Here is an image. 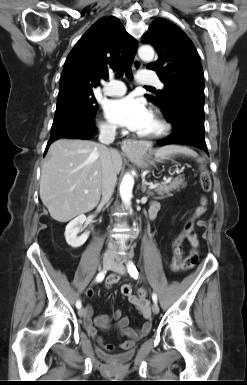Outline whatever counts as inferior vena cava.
Masks as SVG:
<instances>
[{
  "instance_id": "inferior-vena-cava-1",
  "label": "inferior vena cava",
  "mask_w": 247,
  "mask_h": 385,
  "mask_svg": "<svg viewBox=\"0 0 247 385\" xmlns=\"http://www.w3.org/2000/svg\"><path fill=\"white\" fill-rule=\"evenodd\" d=\"M116 136V126L115 125H104L100 128L99 141L104 148L105 152L101 156L102 160V202L107 203L113 194L117 174L114 171L111 156L109 149L106 145H109L114 142ZM115 252V243L110 242L106 255H114Z\"/></svg>"
}]
</instances>
